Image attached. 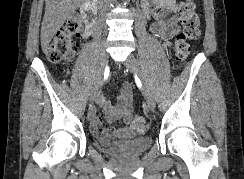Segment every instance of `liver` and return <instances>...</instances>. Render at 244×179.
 Returning a JSON list of instances; mask_svg holds the SVG:
<instances>
[{"mask_svg":"<svg viewBox=\"0 0 244 179\" xmlns=\"http://www.w3.org/2000/svg\"><path fill=\"white\" fill-rule=\"evenodd\" d=\"M85 0H45V14L41 28V48L46 54L48 46L65 20L80 8Z\"/></svg>","mask_w":244,"mask_h":179,"instance_id":"liver-1","label":"liver"}]
</instances>
